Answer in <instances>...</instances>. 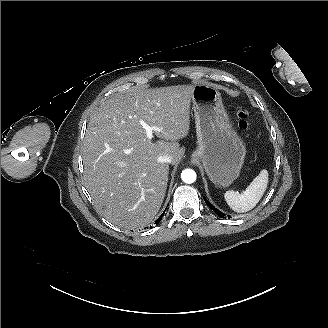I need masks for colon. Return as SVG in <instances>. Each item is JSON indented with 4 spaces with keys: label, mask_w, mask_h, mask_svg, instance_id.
<instances>
[{
    "label": "colon",
    "mask_w": 328,
    "mask_h": 328,
    "mask_svg": "<svg viewBox=\"0 0 328 328\" xmlns=\"http://www.w3.org/2000/svg\"><path fill=\"white\" fill-rule=\"evenodd\" d=\"M238 126L244 132L249 131L250 122H249V113L247 110L242 109L238 112Z\"/></svg>",
    "instance_id": "1"
}]
</instances>
